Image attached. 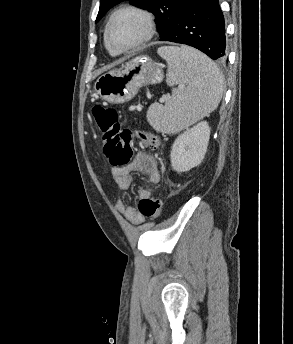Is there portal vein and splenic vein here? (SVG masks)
Returning <instances> with one entry per match:
<instances>
[{"label":"portal vein and splenic vein","instance_id":"1","mask_svg":"<svg viewBox=\"0 0 293 344\" xmlns=\"http://www.w3.org/2000/svg\"><path fill=\"white\" fill-rule=\"evenodd\" d=\"M164 100H165V97L162 98V101H164Z\"/></svg>","mask_w":293,"mask_h":344}]
</instances>
